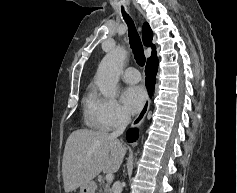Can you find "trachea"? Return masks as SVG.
<instances>
[{
	"label": "trachea",
	"mask_w": 237,
	"mask_h": 193,
	"mask_svg": "<svg viewBox=\"0 0 237 193\" xmlns=\"http://www.w3.org/2000/svg\"><path fill=\"white\" fill-rule=\"evenodd\" d=\"M122 15H123V19L125 20L128 26L129 43L133 50L135 60L140 66H144L145 64L144 50H143V46H142L139 34L135 28L134 22L123 8H122Z\"/></svg>",
	"instance_id": "trachea-1"
}]
</instances>
